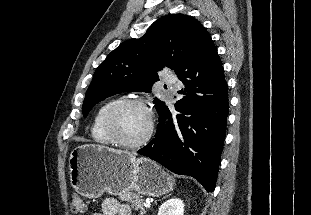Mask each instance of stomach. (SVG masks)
Returning <instances> with one entry per match:
<instances>
[{"mask_svg": "<svg viewBox=\"0 0 311 215\" xmlns=\"http://www.w3.org/2000/svg\"><path fill=\"white\" fill-rule=\"evenodd\" d=\"M70 181L81 196L101 197L105 192L122 195L136 191L140 195L158 197L169 193L175 180L148 158L85 144L76 147L69 157Z\"/></svg>", "mask_w": 311, "mask_h": 215, "instance_id": "1", "label": "stomach"}]
</instances>
